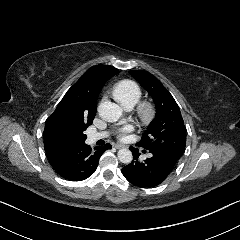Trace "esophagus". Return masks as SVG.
Returning a JSON list of instances; mask_svg holds the SVG:
<instances>
[{"label": "esophagus", "instance_id": "obj_1", "mask_svg": "<svg viewBox=\"0 0 240 240\" xmlns=\"http://www.w3.org/2000/svg\"><path fill=\"white\" fill-rule=\"evenodd\" d=\"M127 146L124 144H116L115 148L120 149V148H126Z\"/></svg>", "mask_w": 240, "mask_h": 240}]
</instances>
